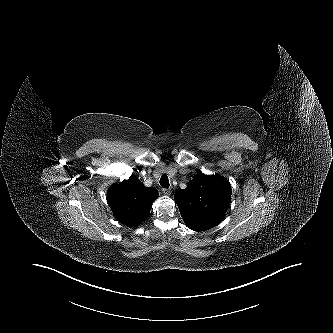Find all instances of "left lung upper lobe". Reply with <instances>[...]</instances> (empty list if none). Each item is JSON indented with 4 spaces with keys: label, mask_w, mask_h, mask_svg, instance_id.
Instances as JSON below:
<instances>
[{
    "label": "left lung upper lobe",
    "mask_w": 333,
    "mask_h": 333,
    "mask_svg": "<svg viewBox=\"0 0 333 333\" xmlns=\"http://www.w3.org/2000/svg\"><path fill=\"white\" fill-rule=\"evenodd\" d=\"M174 197L188 228L208 230L222 221L231 200V186L224 177L199 171L187 188L177 190Z\"/></svg>",
    "instance_id": "1"
}]
</instances>
